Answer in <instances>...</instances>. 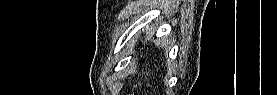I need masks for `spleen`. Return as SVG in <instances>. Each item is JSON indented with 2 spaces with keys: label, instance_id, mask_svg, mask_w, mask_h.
<instances>
[{
  "label": "spleen",
  "instance_id": "spleen-1",
  "mask_svg": "<svg viewBox=\"0 0 277 95\" xmlns=\"http://www.w3.org/2000/svg\"><path fill=\"white\" fill-rule=\"evenodd\" d=\"M156 44H157V45H160V44H161V42H160V41H158V42H156Z\"/></svg>",
  "mask_w": 277,
  "mask_h": 95
}]
</instances>
